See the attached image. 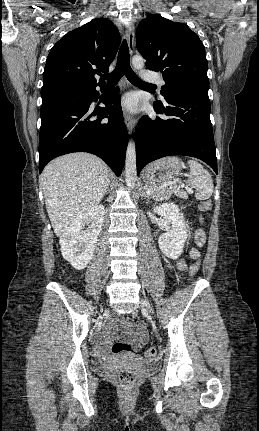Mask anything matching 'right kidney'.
Returning a JSON list of instances; mask_svg holds the SVG:
<instances>
[{
    "label": "right kidney",
    "instance_id": "ca27d5eb",
    "mask_svg": "<svg viewBox=\"0 0 259 431\" xmlns=\"http://www.w3.org/2000/svg\"><path fill=\"white\" fill-rule=\"evenodd\" d=\"M103 205L93 206L76 217L60 237L61 253L77 269L86 268L90 262L104 220ZM90 224L87 231L84 225Z\"/></svg>",
    "mask_w": 259,
    "mask_h": 431
}]
</instances>
